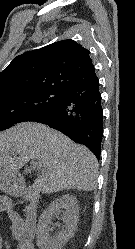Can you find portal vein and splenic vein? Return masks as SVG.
<instances>
[{
    "label": "portal vein and splenic vein",
    "mask_w": 135,
    "mask_h": 249,
    "mask_svg": "<svg viewBox=\"0 0 135 249\" xmlns=\"http://www.w3.org/2000/svg\"><path fill=\"white\" fill-rule=\"evenodd\" d=\"M33 166L37 168L38 167V163L37 162H33Z\"/></svg>",
    "instance_id": "18ae733b"
}]
</instances>
